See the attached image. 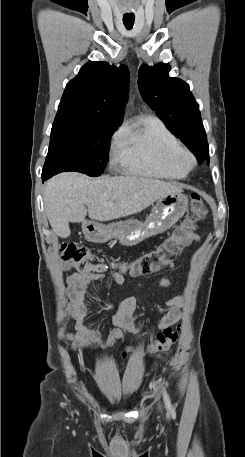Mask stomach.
<instances>
[{
  "mask_svg": "<svg viewBox=\"0 0 245 457\" xmlns=\"http://www.w3.org/2000/svg\"><path fill=\"white\" fill-rule=\"evenodd\" d=\"M187 206L188 198L185 194L172 192L158 198L145 222L135 218L110 222V224L87 220L83 222L82 229L86 239L91 243H106L110 239H118L121 245L133 247L148 237L160 235L170 229V226L186 212Z\"/></svg>",
  "mask_w": 245,
  "mask_h": 457,
  "instance_id": "obj_1",
  "label": "stomach"
}]
</instances>
